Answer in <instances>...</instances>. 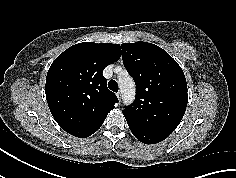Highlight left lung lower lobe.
I'll return each instance as SVG.
<instances>
[{
  "instance_id": "left-lung-lower-lobe-1",
  "label": "left lung lower lobe",
  "mask_w": 236,
  "mask_h": 178,
  "mask_svg": "<svg viewBox=\"0 0 236 178\" xmlns=\"http://www.w3.org/2000/svg\"><path fill=\"white\" fill-rule=\"evenodd\" d=\"M129 125V124H128ZM131 132L134 136L141 142L145 144H156L164 139H166L169 135L159 132H154L151 130L143 129L138 126L129 125Z\"/></svg>"
}]
</instances>
